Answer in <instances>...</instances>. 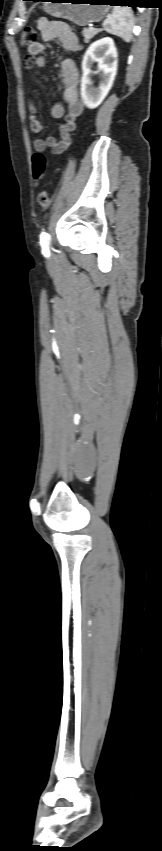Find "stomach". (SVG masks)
<instances>
[{
    "mask_svg": "<svg viewBox=\"0 0 162 851\" xmlns=\"http://www.w3.org/2000/svg\"><path fill=\"white\" fill-rule=\"evenodd\" d=\"M105 4L107 0H51L44 3V10L53 17L85 26L105 17L109 10Z\"/></svg>",
    "mask_w": 162,
    "mask_h": 851,
    "instance_id": "0dacf381",
    "label": "stomach"
}]
</instances>
